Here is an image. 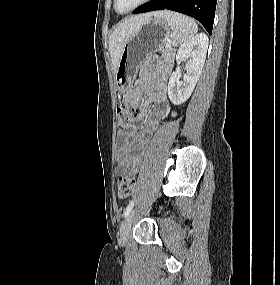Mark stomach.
Here are the masks:
<instances>
[{
	"instance_id": "stomach-1",
	"label": "stomach",
	"mask_w": 280,
	"mask_h": 285,
	"mask_svg": "<svg viewBox=\"0 0 280 285\" xmlns=\"http://www.w3.org/2000/svg\"><path fill=\"white\" fill-rule=\"evenodd\" d=\"M171 36L169 24L158 17L150 18L137 29L125 44L115 72L120 93H125L131 88L138 67L145 57L162 49Z\"/></svg>"
}]
</instances>
